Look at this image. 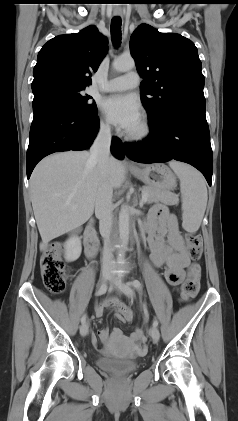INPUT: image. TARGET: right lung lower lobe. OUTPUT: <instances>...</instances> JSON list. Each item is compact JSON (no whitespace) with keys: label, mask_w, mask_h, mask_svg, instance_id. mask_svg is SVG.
I'll return each instance as SVG.
<instances>
[{"label":"right lung lower lobe","mask_w":238,"mask_h":421,"mask_svg":"<svg viewBox=\"0 0 238 421\" xmlns=\"http://www.w3.org/2000/svg\"><path fill=\"white\" fill-rule=\"evenodd\" d=\"M33 112L26 156L28 179L36 164L45 156L88 148L99 129L97 113L91 116L82 114L53 96L33 100ZM111 151L116 158H124L122 142L116 137L112 139Z\"/></svg>","instance_id":"98d812e1"}]
</instances>
